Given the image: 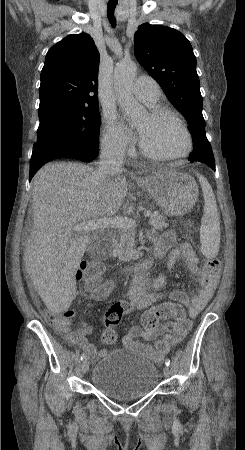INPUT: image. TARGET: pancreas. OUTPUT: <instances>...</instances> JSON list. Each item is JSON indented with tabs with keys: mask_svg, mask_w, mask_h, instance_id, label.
Here are the masks:
<instances>
[{
	"mask_svg": "<svg viewBox=\"0 0 245 450\" xmlns=\"http://www.w3.org/2000/svg\"><path fill=\"white\" fill-rule=\"evenodd\" d=\"M149 224L156 230H161L166 228L168 224L165 222V217L159 213H153L150 216ZM135 248V230L131 229H120L119 238L117 240V245L114 249V254L120 261H131L139 258L138 252L134 250Z\"/></svg>",
	"mask_w": 245,
	"mask_h": 450,
	"instance_id": "cf45deb5",
	"label": "pancreas"
}]
</instances>
